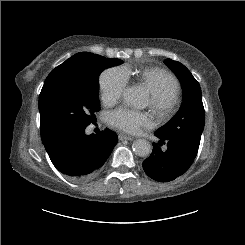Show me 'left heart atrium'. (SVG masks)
I'll list each match as a JSON object with an SVG mask.
<instances>
[{
	"label": "left heart atrium",
	"mask_w": 245,
	"mask_h": 245,
	"mask_svg": "<svg viewBox=\"0 0 245 245\" xmlns=\"http://www.w3.org/2000/svg\"><path fill=\"white\" fill-rule=\"evenodd\" d=\"M108 123L111 127L129 134H138L142 128L152 125L147 114L126 107L112 111L108 116Z\"/></svg>",
	"instance_id": "left-heart-atrium-1"
}]
</instances>
